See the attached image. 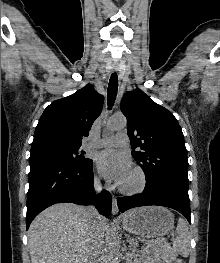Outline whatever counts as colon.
Masks as SVG:
<instances>
[{"label": "colon", "instance_id": "1", "mask_svg": "<svg viewBox=\"0 0 220 263\" xmlns=\"http://www.w3.org/2000/svg\"><path fill=\"white\" fill-rule=\"evenodd\" d=\"M174 263H185V261L182 259H176Z\"/></svg>", "mask_w": 220, "mask_h": 263}]
</instances>
